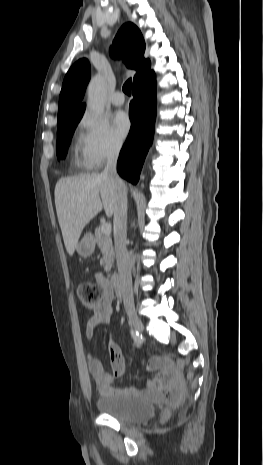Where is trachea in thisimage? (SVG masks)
<instances>
[{"label": "trachea", "instance_id": "1", "mask_svg": "<svg viewBox=\"0 0 263 465\" xmlns=\"http://www.w3.org/2000/svg\"><path fill=\"white\" fill-rule=\"evenodd\" d=\"M131 84H132V80L128 79L123 85V91L127 95H131Z\"/></svg>", "mask_w": 263, "mask_h": 465}]
</instances>
